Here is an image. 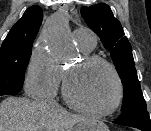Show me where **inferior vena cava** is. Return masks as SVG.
I'll return each mask as SVG.
<instances>
[{
  "mask_svg": "<svg viewBox=\"0 0 151 131\" xmlns=\"http://www.w3.org/2000/svg\"><path fill=\"white\" fill-rule=\"evenodd\" d=\"M43 103L51 107H59V104L54 100L53 97L47 98Z\"/></svg>",
  "mask_w": 151,
  "mask_h": 131,
  "instance_id": "602c4592",
  "label": "inferior vena cava"
}]
</instances>
